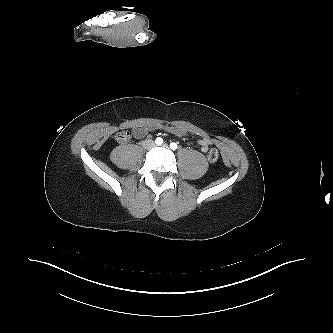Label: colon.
Returning a JSON list of instances; mask_svg holds the SVG:
<instances>
[{
  "label": "colon",
  "mask_w": 333,
  "mask_h": 333,
  "mask_svg": "<svg viewBox=\"0 0 333 333\" xmlns=\"http://www.w3.org/2000/svg\"><path fill=\"white\" fill-rule=\"evenodd\" d=\"M115 139L119 143H125L130 139V134L126 131L118 132L115 135ZM219 158V153L216 149H211L208 153V160L210 162H216Z\"/></svg>",
  "instance_id": "obj_1"
}]
</instances>
